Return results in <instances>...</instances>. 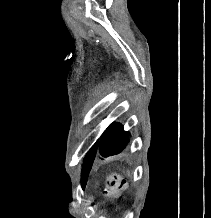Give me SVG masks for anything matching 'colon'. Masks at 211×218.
<instances>
[{
	"mask_svg": "<svg viewBox=\"0 0 211 218\" xmlns=\"http://www.w3.org/2000/svg\"><path fill=\"white\" fill-rule=\"evenodd\" d=\"M106 194L112 198H118L126 188L125 180L116 172H111L106 177Z\"/></svg>",
	"mask_w": 211,
	"mask_h": 218,
	"instance_id": "5ec220e1",
	"label": "colon"
}]
</instances>
